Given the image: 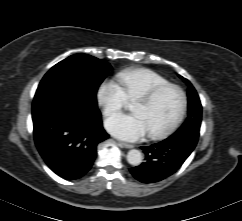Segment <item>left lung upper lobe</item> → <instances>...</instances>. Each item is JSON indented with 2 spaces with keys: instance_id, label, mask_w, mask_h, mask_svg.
Listing matches in <instances>:
<instances>
[{
  "instance_id": "1",
  "label": "left lung upper lobe",
  "mask_w": 242,
  "mask_h": 221,
  "mask_svg": "<svg viewBox=\"0 0 242 221\" xmlns=\"http://www.w3.org/2000/svg\"><path fill=\"white\" fill-rule=\"evenodd\" d=\"M181 77V76H180ZM182 78V77H181ZM190 87L188 89V117L183 125L175 132V134L195 132L199 134L202 120V106L199 96L187 79H184Z\"/></svg>"
}]
</instances>
